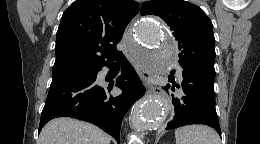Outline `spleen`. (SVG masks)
Listing matches in <instances>:
<instances>
[{
	"label": "spleen",
	"instance_id": "3e777b00",
	"mask_svg": "<svg viewBox=\"0 0 260 144\" xmlns=\"http://www.w3.org/2000/svg\"><path fill=\"white\" fill-rule=\"evenodd\" d=\"M176 144H220L217 132L205 125H188L175 130Z\"/></svg>",
	"mask_w": 260,
	"mask_h": 144
}]
</instances>
